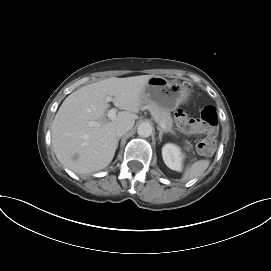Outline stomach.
Instances as JSON below:
<instances>
[{"label": "stomach", "mask_w": 271, "mask_h": 271, "mask_svg": "<svg viewBox=\"0 0 271 271\" xmlns=\"http://www.w3.org/2000/svg\"><path fill=\"white\" fill-rule=\"evenodd\" d=\"M188 87L171 82L161 76H153L148 80L142 91V101L154 103L166 111L175 110L190 98Z\"/></svg>", "instance_id": "obj_1"}]
</instances>
